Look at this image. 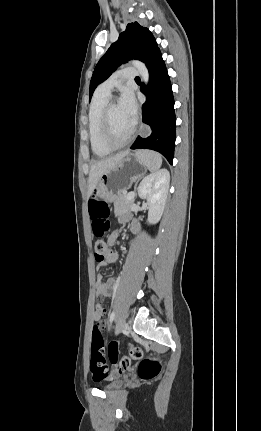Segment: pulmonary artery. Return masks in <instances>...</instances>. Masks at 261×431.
<instances>
[{"label": "pulmonary artery", "instance_id": "e3ab8cb5", "mask_svg": "<svg viewBox=\"0 0 261 431\" xmlns=\"http://www.w3.org/2000/svg\"><path fill=\"white\" fill-rule=\"evenodd\" d=\"M138 75H139V71L136 68L127 67V68L120 69L115 73H113L104 82H102L98 86L96 91L101 94L109 96L114 87L121 84L125 80L134 79Z\"/></svg>", "mask_w": 261, "mask_h": 431}]
</instances>
